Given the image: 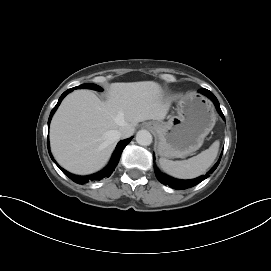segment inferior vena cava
Masks as SVG:
<instances>
[{"label": "inferior vena cava", "mask_w": 271, "mask_h": 271, "mask_svg": "<svg viewBox=\"0 0 271 271\" xmlns=\"http://www.w3.org/2000/svg\"><path fill=\"white\" fill-rule=\"evenodd\" d=\"M134 133V127L130 125L122 126L118 129L117 134L120 138L131 137Z\"/></svg>", "instance_id": "602c4592"}]
</instances>
